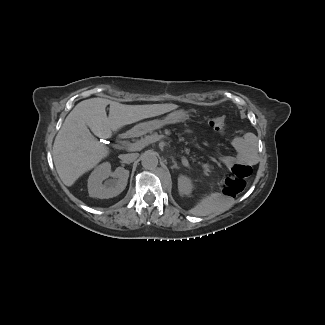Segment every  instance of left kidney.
<instances>
[{
  "instance_id": "5707ae66",
  "label": "left kidney",
  "mask_w": 325,
  "mask_h": 325,
  "mask_svg": "<svg viewBox=\"0 0 325 325\" xmlns=\"http://www.w3.org/2000/svg\"><path fill=\"white\" fill-rule=\"evenodd\" d=\"M193 185L189 177L180 175L178 178V189L181 195H190Z\"/></svg>"
}]
</instances>
